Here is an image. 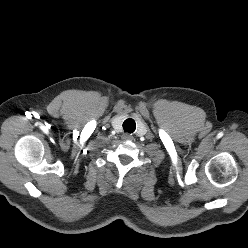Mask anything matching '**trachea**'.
<instances>
[{
	"instance_id": "1",
	"label": "trachea",
	"mask_w": 248,
	"mask_h": 248,
	"mask_svg": "<svg viewBox=\"0 0 248 248\" xmlns=\"http://www.w3.org/2000/svg\"><path fill=\"white\" fill-rule=\"evenodd\" d=\"M136 129V123L133 119H126L123 122V130L124 132H128V133H133Z\"/></svg>"
}]
</instances>
